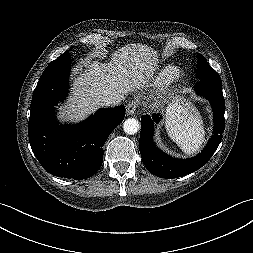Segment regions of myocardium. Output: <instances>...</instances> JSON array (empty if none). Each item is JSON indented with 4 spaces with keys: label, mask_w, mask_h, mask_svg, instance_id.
<instances>
[{
    "label": "myocardium",
    "mask_w": 253,
    "mask_h": 253,
    "mask_svg": "<svg viewBox=\"0 0 253 253\" xmlns=\"http://www.w3.org/2000/svg\"><path fill=\"white\" fill-rule=\"evenodd\" d=\"M183 75L181 68L177 66H169L161 73V81L164 83H173L179 80Z\"/></svg>",
    "instance_id": "obj_1"
}]
</instances>
